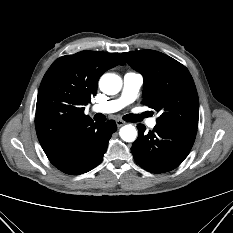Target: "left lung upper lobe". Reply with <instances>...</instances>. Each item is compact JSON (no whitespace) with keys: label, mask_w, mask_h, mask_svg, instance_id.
Segmentation results:
<instances>
[{"label":"left lung upper lobe","mask_w":233,"mask_h":233,"mask_svg":"<svg viewBox=\"0 0 233 233\" xmlns=\"http://www.w3.org/2000/svg\"><path fill=\"white\" fill-rule=\"evenodd\" d=\"M143 74V103L160 113L157 124L197 129L199 100L188 69L154 50L122 53Z\"/></svg>","instance_id":"obj_1"}]
</instances>
